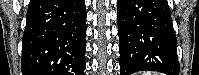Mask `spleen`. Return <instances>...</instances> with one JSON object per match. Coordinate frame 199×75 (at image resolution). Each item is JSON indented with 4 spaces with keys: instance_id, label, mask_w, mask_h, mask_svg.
Instances as JSON below:
<instances>
[{
    "instance_id": "1",
    "label": "spleen",
    "mask_w": 199,
    "mask_h": 75,
    "mask_svg": "<svg viewBox=\"0 0 199 75\" xmlns=\"http://www.w3.org/2000/svg\"><path fill=\"white\" fill-rule=\"evenodd\" d=\"M145 75H157L156 73H154V72H147V73H145ZM162 75V74H161Z\"/></svg>"
}]
</instances>
